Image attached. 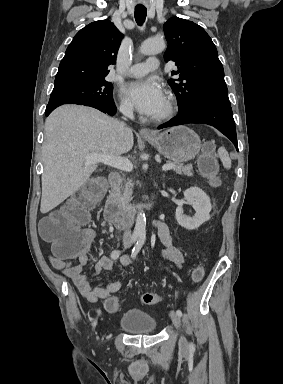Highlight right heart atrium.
<instances>
[{
    "label": "right heart atrium",
    "mask_w": 283,
    "mask_h": 384,
    "mask_svg": "<svg viewBox=\"0 0 283 384\" xmlns=\"http://www.w3.org/2000/svg\"><path fill=\"white\" fill-rule=\"evenodd\" d=\"M119 110L122 114L129 115L131 113V106L125 99H121L119 102Z\"/></svg>",
    "instance_id": "1"
}]
</instances>
